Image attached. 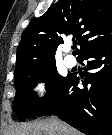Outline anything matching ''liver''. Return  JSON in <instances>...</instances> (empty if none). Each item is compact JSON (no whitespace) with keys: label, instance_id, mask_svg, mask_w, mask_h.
<instances>
[{"label":"liver","instance_id":"1","mask_svg":"<svg viewBox=\"0 0 112 135\" xmlns=\"http://www.w3.org/2000/svg\"><path fill=\"white\" fill-rule=\"evenodd\" d=\"M13 135H80L71 126L51 117L24 124L15 129Z\"/></svg>","mask_w":112,"mask_h":135}]
</instances>
